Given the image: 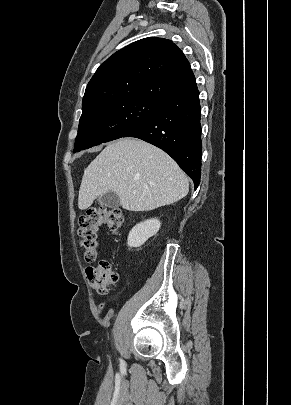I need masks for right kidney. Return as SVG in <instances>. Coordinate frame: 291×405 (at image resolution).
Returning a JSON list of instances; mask_svg holds the SVG:
<instances>
[{
	"instance_id": "ca27d5eb",
	"label": "right kidney",
	"mask_w": 291,
	"mask_h": 405,
	"mask_svg": "<svg viewBox=\"0 0 291 405\" xmlns=\"http://www.w3.org/2000/svg\"><path fill=\"white\" fill-rule=\"evenodd\" d=\"M161 223L158 219L145 220L134 226L128 235L129 247H140L150 237L154 236L160 229Z\"/></svg>"
}]
</instances>
